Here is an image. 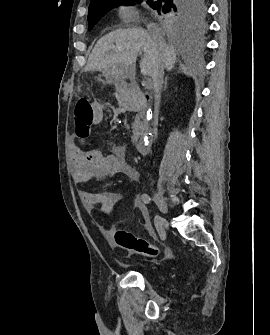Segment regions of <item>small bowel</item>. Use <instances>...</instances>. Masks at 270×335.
I'll return each mask as SVG.
<instances>
[{
  "label": "small bowel",
  "mask_w": 270,
  "mask_h": 335,
  "mask_svg": "<svg viewBox=\"0 0 270 335\" xmlns=\"http://www.w3.org/2000/svg\"><path fill=\"white\" fill-rule=\"evenodd\" d=\"M93 118L96 124L102 122L104 111L99 104L94 105ZM71 172L76 183L89 182L95 178H105L114 174H123L134 183L140 182L139 171L126 161V150L121 146L113 147L110 154H104L98 149L72 151ZM78 196L90 214H95V206L99 205L98 214L106 221L113 217L114 206L127 200L126 196L119 193L103 190L99 192L78 190ZM134 207L140 213L145 226L150 227V219L145 204L135 196L132 199ZM98 229L105 235L110 231L105 230V224L99 222Z\"/></svg>",
  "instance_id": "c3829d8e"
}]
</instances>
